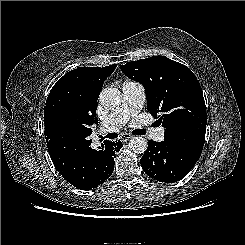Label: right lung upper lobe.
<instances>
[{
	"label": "right lung upper lobe",
	"instance_id": "obj_1",
	"mask_svg": "<svg viewBox=\"0 0 245 245\" xmlns=\"http://www.w3.org/2000/svg\"><path fill=\"white\" fill-rule=\"evenodd\" d=\"M115 68L80 67L56 82L44 106V134L50 147L57 139H64L72 151L91 143L90 126L98 122L97 100L104 81Z\"/></svg>",
	"mask_w": 245,
	"mask_h": 245
}]
</instances>
